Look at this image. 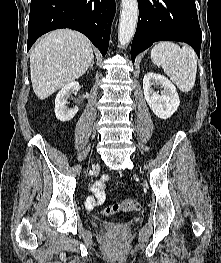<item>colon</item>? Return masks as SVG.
<instances>
[{
	"label": "colon",
	"instance_id": "colon-1",
	"mask_svg": "<svg viewBox=\"0 0 221 263\" xmlns=\"http://www.w3.org/2000/svg\"><path fill=\"white\" fill-rule=\"evenodd\" d=\"M139 207V203L134 198H127L122 200L121 202L111 204L107 206L103 213L105 215H114L117 213H128L137 210Z\"/></svg>",
	"mask_w": 221,
	"mask_h": 263
}]
</instances>
